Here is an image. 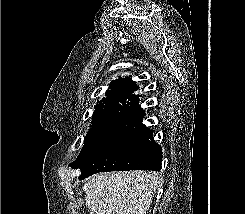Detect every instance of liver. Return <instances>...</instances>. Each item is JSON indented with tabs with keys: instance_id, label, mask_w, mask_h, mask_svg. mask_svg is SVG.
<instances>
[{
	"instance_id": "obj_1",
	"label": "liver",
	"mask_w": 245,
	"mask_h": 214,
	"mask_svg": "<svg viewBox=\"0 0 245 214\" xmlns=\"http://www.w3.org/2000/svg\"><path fill=\"white\" fill-rule=\"evenodd\" d=\"M156 172L98 173L82 187L90 214H146L159 186Z\"/></svg>"
}]
</instances>
